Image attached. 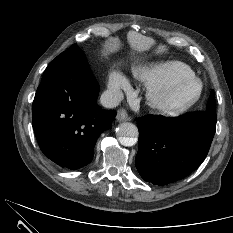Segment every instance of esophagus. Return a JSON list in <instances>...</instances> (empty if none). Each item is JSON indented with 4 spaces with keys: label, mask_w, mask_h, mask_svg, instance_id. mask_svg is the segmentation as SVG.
<instances>
[{
    "label": "esophagus",
    "mask_w": 233,
    "mask_h": 233,
    "mask_svg": "<svg viewBox=\"0 0 233 233\" xmlns=\"http://www.w3.org/2000/svg\"><path fill=\"white\" fill-rule=\"evenodd\" d=\"M116 119L119 122H123V121H130L131 117L129 116V114L127 113V111L125 109L121 108L117 112Z\"/></svg>",
    "instance_id": "obj_1"
}]
</instances>
